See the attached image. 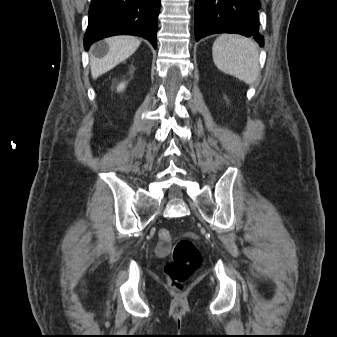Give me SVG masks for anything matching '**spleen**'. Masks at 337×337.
I'll list each match as a JSON object with an SVG mask.
<instances>
[{
  "label": "spleen",
  "mask_w": 337,
  "mask_h": 337,
  "mask_svg": "<svg viewBox=\"0 0 337 337\" xmlns=\"http://www.w3.org/2000/svg\"><path fill=\"white\" fill-rule=\"evenodd\" d=\"M216 67L246 84H252L259 71V52L256 44L241 35L222 34L213 43Z\"/></svg>",
  "instance_id": "1"
}]
</instances>
